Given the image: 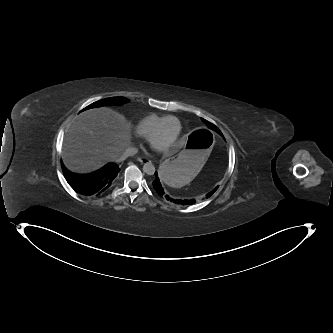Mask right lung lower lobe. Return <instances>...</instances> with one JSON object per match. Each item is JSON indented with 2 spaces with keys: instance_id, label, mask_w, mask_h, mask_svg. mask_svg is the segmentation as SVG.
<instances>
[{
  "instance_id": "obj_1",
  "label": "right lung lower lobe",
  "mask_w": 333,
  "mask_h": 333,
  "mask_svg": "<svg viewBox=\"0 0 333 333\" xmlns=\"http://www.w3.org/2000/svg\"><path fill=\"white\" fill-rule=\"evenodd\" d=\"M63 173L69 185L78 193L90 196L100 195L108 191L120 171L115 163H108L101 169L89 174H76L64 166Z\"/></svg>"
}]
</instances>
